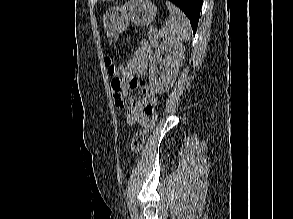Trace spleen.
I'll use <instances>...</instances> for the list:
<instances>
[{
	"label": "spleen",
	"mask_w": 293,
	"mask_h": 219,
	"mask_svg": "<svg viewBox=\"0 0 293 219\" xmlns=\"http://www.w3.org/2000/svg\"><path fill=\"white\" fill-rule=\"evenodd\" d=\"M170 20L160 30V36L167 41L188 42L191 37V26L188 18L172 3L166 2Z\"/></svg>",
	"instance_id": "obj_1"
}]
</instances>
